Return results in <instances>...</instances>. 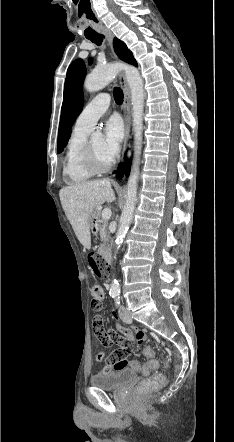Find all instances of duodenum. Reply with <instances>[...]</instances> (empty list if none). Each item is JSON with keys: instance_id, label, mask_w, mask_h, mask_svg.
Wrapping results in <instances>:
<instances>
[{"instance_id": "410a0bca", "label": "duodenum", "mask_w": 234, "mask_h": 442, "mask_svg": "<svg viewBox=\"0 0 234 442\" xmlns=\"http://www.w3.org/2000/svg\"><path fill=\"white\" fill-rule=\"evenodd\" d=\"M97 230V227L95 226L94 231ZM100 256L102 257V259L109 265L112 262V256L111 253L108 249L106 248H102L100 250Z\"/></svg>"}]
</instances>
